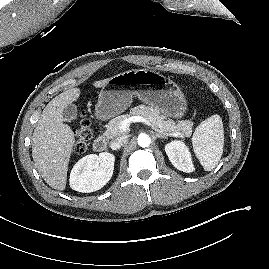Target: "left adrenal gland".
Segmentation results:
<instances>
[{
	"label": "left adrenal gland",
	"mask_w": 269,
	"mask_h": 269,
	"mask_svg": "<svg viewBox=\"0 0 269 269\" xmlns=\"http://www.w3.org/2000/svg\"><path fill=\"white\" fill-rule=\"evenodd\" d=\"M153 138L154 139H157V138H164V139H166V137L164 135H160V134H154L153 135Z\"/></svg>",
	"instance_id": "1"
}]
</instances>
